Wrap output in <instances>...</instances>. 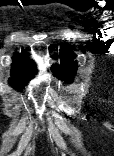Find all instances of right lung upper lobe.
I'll return each mask as SVG.
<instances>
[{"mask_svg":"<svg viewBox=\"0 0 114 156\" xmlns=\"http://www.w3.org/2000/svg\"><path fill=\"white\" fill-rule=\"evenodd\" d=\"M10 84L17 88L23 86L36 72L35 63L28 59L25 52L13 57Z\"/></svg>","mask_w":114,"mask_h":156,"instance_id":"obj_1","label":"right lung upper lobe"}]
</instances>
